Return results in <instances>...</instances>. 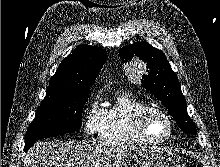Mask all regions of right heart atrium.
Returning <instances> with one entry per match:
<instances>
[{
	"instance_id": "1",
	"label": "right heart atrium",
	"mask_w": 220,
	"mask_h": 167,
	"mask_svg": "<svg viewBox=\"0 0 220 167\" xmlns=\"http://www.w3.org/2000/svg\"><path fill=\"white\" fill-rule=\"evenodd\" d=\"M104 110L100 107L98 97H93L86 110L83 129L87 137L98 135L103 121Z\"/></svg>"
}]
</instances>
